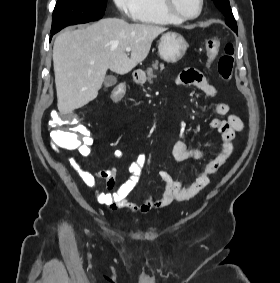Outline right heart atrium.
Returning <instances> with one entry per match:
<instances>
[{"label":"right heart atrium","mask_w":280,"mask_h":283,"mask_svg":"<svg viewBox=\"0 0 280 283\" xmlns=\"http://www.w3.org/2000/svg\"><path fill=\"white\" fill-rule=\"evenodd\" d=\"M113 1L123 17L131 18L135 16L138 7V0H113Z\"/></svg>","instance_id":"d8ad5b80"}]
</instances>
